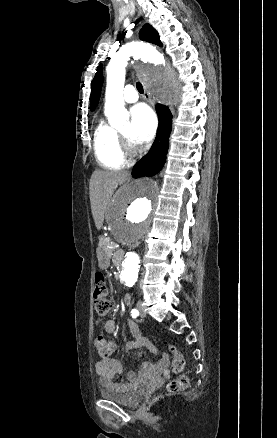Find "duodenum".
<instances>
[{
  "mask_svg": "<svg viewBox=\"0 0 277 438\" xmlns=\"http://www.w3.org/2000/svg\"><path fill=\"white\" fill-rule=\"evenodd\" d=\"M114 264L116 266H121L123 260H124V252L123 251H116L113 255Z\"/></svg>",
  "mask_w": 277,
  "mask_h": 438,
  "instance_id": "410a0bca",
  "label": "duodenum"
}]
</instances>
